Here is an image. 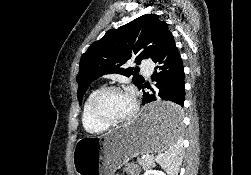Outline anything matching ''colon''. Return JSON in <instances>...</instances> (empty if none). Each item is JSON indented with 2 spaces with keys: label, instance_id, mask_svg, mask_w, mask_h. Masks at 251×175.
Returning a JSON list of instances; mask_svg holds the SVG:
<instances>
[{
  "label": "colon",
  "instance_id": "colon-1",
  "mask_svg": "<svg viewBox=\"0 0 251 175\" xmlns=\"http://www.w3.org/2000/svg\"><path fill=\"white\" fill-rule=\"evenodd\" d=\"M126 172L129 174V175H137L138 172H139V167L137 164L135 163H129L127 164L126 166Z\"/></svg>",
  "mask_w": 251,
  "mask_h": 175
}]
</instances>
